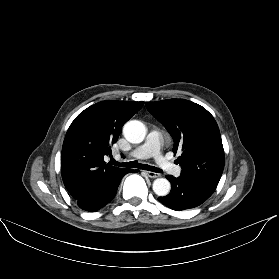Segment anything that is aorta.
I'll return each instance as SVG.
<instances>
[{"label": "aorta", "mask_w": 279, "mask_h": 279, "mask_svg": "<svg viewBox=\"0 0 279 279\" xmlns=\"http://www.w3.org/2000/svg\"><path fill=\"white\" fill-rule=\"evenodd\" d=\"M123 134L129 142L140 143L146 136V128L142 122L132 120L124 125ZM170 189V182L166 178H157L153 182V191L158 196H166Z\"/></svg>", "instance_id": "762f6f07"}]
</instances>
